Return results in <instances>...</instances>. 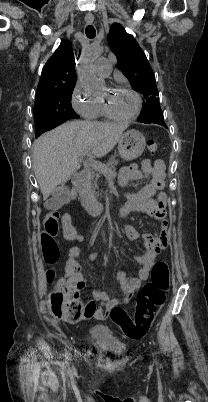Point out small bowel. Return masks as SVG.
I'll return each instance as SVG.
<instances>
[{"label": "small bowel", "instance_id": "c3829d8e", "mask_svg": "<svg viewBox=\"0 0 208 402\" xmlns=\"http://www.w3.org/2000/svg\"><path fill=\"white\" fill-rule=\"evenodd\" d=\"M166 166L163 160L157 159L154 162L145 159L141 162L140 166L133 164L123 167L119 171L118 185L123 190V195L126 198V205L122 208V215L126 216L132 212L147 213L161 221V229L155 232L154 235L144 234L145 252L138 257V262L141 268L138 275L134 278H127L124 273H119L117 279L120 283L124 298L126 300L137 287L140 282L145 280L148 276L150 267L157 253L163 250L168 243V221L166 216L167 195L160 192L156 199L154 196L165 187ZM147 184L137 191H125L127 184L130 181H145ZM64 226L73 228L70 223H64ZM74 229V228H73ZM125 232L127 236L132 239H138L140 233L133 227L126 225ZM90 238L88 236H70V243H88ZM71 254H77V250L71 251ZM94 256V255H92ZM66 276L60 280H71L72 293L69 297L76 298L81 295H86L85 289V275L81 265L77 262L75 266L69 265L67 260ZM48 273H53L49 271ZM96 301H102L108 306L116 305L120 302L117 299H110L103 292H95L92 294ZM93 317L96 318L97 323L102 324L107 317L106 310L101 309ZM81 317L79 315H66L63 318L61 327L63 330H79L81 328Z\"/></svg>", "mask_w": 208, "mask_h": 402}]
</instances>
